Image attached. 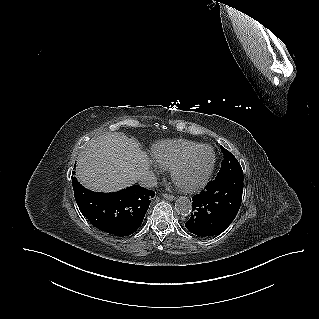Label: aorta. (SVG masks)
<instances>
[{"instance_id":"762f6f07","label":"aorta","mask_w":319,"mask_h":319,"mask_svg":"<svg viewBox=\"0 0 319 319\" xmlns=\"http://www.w3.org/2000/svg\"><path fill=\"white\" fill-rule=\"evenodd\" d=\"M176 211L181 215H188L192 211V203L189 198L181 196L176 200Z\"/></svg>"}]
</instances>
